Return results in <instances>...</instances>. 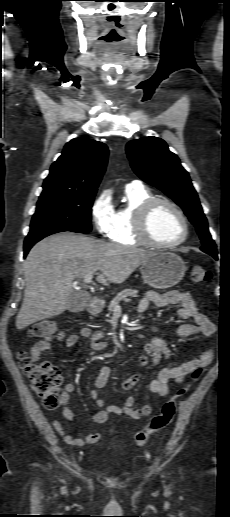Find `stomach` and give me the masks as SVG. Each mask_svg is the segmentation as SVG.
Here are the masks:
<instances>
[{"instance_id": "stomach-1", "label": "stomach", "mask_w": 230, "mask_h": 517, "mask_svg": "<svg viewBox=\"0 0 230 517\" xmlns=\"http://www.w3.org/2000/svg\"><path fill=\"white\" fill-rule=\"evenodd\" d=\"M140 270L146 284L155 289H167L183 279L186 265L175 253L156 251L141 264Z\"/></svg>"}]
</instances>
